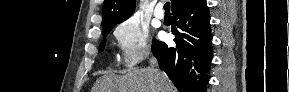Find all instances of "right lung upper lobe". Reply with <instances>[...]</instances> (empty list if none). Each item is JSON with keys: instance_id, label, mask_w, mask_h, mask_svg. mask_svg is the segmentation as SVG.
I'll use <instances>...</instances> for the list:
<instances>
[{"instance_id": "1", "label": "right lung upper lobe", "mask_w": 289, "mask_h": 92, "mask_svg": "<svg viewBox=\"0 0 289 92\" xmlns=\"http://www.w3.org/2000/svg\"><path fill=\"white\" fill-rule=\"evenodd\" d=\"M199 0H171L172 12L194 5ZM135 8V0H104L102 10V29L118 24L129 18Z\"/></svg>"}]
</instances>
